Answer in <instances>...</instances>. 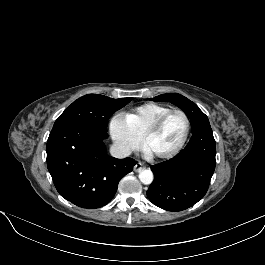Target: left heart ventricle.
I'll list each match as a JSON object with an SVG mask.
<instances>
[{"label": "left heart ventricle", "mask_w": 265, "mask_h": 265, "mask_svg": "<svg viewBox=\"0 0 265 265\" xmlns=\"http://www.w3.org/2000/svg\"><path fill=\"white\" fill-rule=\"evenodd\" d=\"M185 130V119L179 114L170 115L159 131L149 139L147 150L150 153H161L173 149L182 140Z\"/></svg>", "instance_id": "1"}]
</instances>
